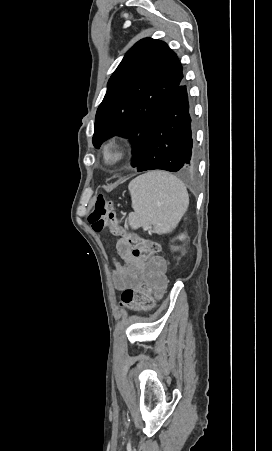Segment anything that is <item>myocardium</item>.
<instances>
[{
	"label": "myocardium",
	"instance_id": "myocardium-1",
	"mask_svg": "<svg viewBox=\"0 0 272 451\" xmlns=\"http://www.w3.org/2000/svg\"><path fill=\"white\" fill-rule=\"evenodd\" d=\"M125 160L124 150L117 144L108 143L102 150V162L109 167H118Z\"/></svg>",
	"mask_w": 272,
	"mask_h": 451
}]
</instances>
